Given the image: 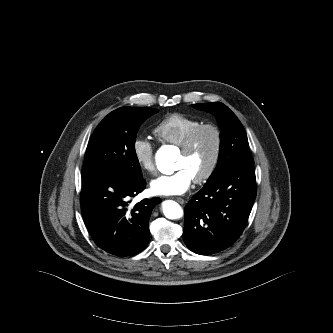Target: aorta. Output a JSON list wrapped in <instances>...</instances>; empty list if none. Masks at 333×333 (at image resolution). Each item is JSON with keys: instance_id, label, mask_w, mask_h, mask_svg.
Returning <instances> with one entry per match:
<instances>
[{"instance_id": "obj_1", "label": "aorta", "mask_w": 333, "mask_h": 333, "mask_svg": "<svg viewBox=\"0 0 333 333\" xmlns=\"http://www.w3.org/2000/svg\"><path fill=\"white\" fill-rule=\"evenodd\" d=\"M177 158L176 152L171 146H162L155 155V161L158 170L163 174H172L174 172V161ZM162 212L168 219H179L183 216L181 206L173 201L166 200L162 203Z\"/></svg>"}]
</instances>
